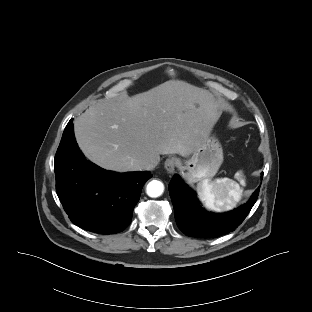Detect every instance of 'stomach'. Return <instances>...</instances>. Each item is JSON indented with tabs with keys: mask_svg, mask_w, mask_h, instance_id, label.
I'll return each mask as SVG.
<instances>
[{
	"mask_svg": "<svg viewBox=\"0 0 312 312\" xmlns=\"http://www.w3.org/2000/svg\"><path fill=\"white\" fill-rule=\"evenodd\" d=\"M223 163V150L215 136H208L192 156L181 162V170L190 183L213 178Z\"/></svg>",
	"mask_w": 312,
	"mask_h": 312,
	"instance_id": "1",
	"label": "stomach"
}]
</instances>
